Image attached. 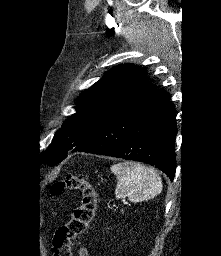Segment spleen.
Returning a JSON list of instances; mask_svg holds the SVG:
<instances>
[{"label":"spleen","mask_w":221,"mask_h":256,"mask_svg":"<svg viewBox=\"0 0 221 256\" xmlns=\"http://www.w3.org/2000/svg\"><path fill=\"white\" fill-rule=\"evenodd\" d=\"M111 172L117 177L115 197H126L133 203L147 201L162 191V181L151 167L139 163H118L111 166Z\"/></svg>","instance_id":"spleen-1"}]
</instances>
